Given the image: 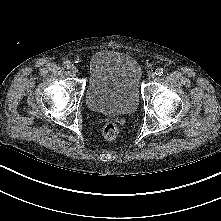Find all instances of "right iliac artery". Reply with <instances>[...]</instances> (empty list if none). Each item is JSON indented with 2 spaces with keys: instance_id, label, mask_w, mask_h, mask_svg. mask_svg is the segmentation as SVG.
I'll list each match as a JSON object with an SVG mask.
<instances>
[{
  "instance_id": "obj_1",
  "label": "right iliac artery",
  "mask_w": 221,
  "mask_h": 221,
  "mask_svg": "<svg viewBox=\"0 0 221 221\" xmlns=\"http://www.w3.org/2000/svg\"><path fill=\"white\" fill-rule=\"evenodd\" d=\"M64 67L69 69L72 66V63L68 60L63 63Z\"/></svg>"
}]
</instances>
